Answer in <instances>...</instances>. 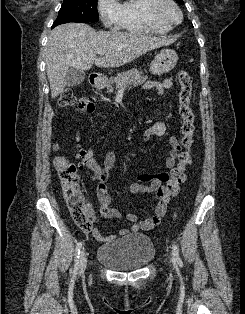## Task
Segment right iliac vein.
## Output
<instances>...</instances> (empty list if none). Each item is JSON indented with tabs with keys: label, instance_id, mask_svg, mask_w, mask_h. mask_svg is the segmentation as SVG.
I'll return each mask as SVG.
<instances>
[{
	"label": "right iliac vein",
	"instance_id": "63e3f726",
	"mask_svg": "<svg viewBox=\"0 0 245 314\" xmlns=\"http://www.w3.org/2000/svg\"><path fill=\"white\" fill-rule=\"evenodd\" d=\"M87 267V257L85 250L83 249L80 254V261H79V267H78V272L81 274L85 271Z\"/></svg>",
	"mask_w": 245,
	"mask_h": 314
}]
</instances>
